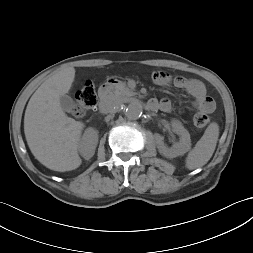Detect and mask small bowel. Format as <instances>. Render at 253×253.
<instances>
[{"label":"small bowel","mask_w":253,"mask_h":253,"mask_svg":"<svg viewBox=\"0 0 253 253\" xmlns=\"http://www.w3.org/2000/svg\"><path fill=\"white\" fill-rule=\"evenodd\" d=\"M152 80L155 84L169 87L174 86L185 90L193 98L192 108L204 113H212L215 109L214 100L207 96L205 85L196 79H187L184 77L172 78L164 71H156L152 74ZM155 103L154 110L159 109L164 112H169L172 109L171 101L168 98L161 100L152 99Z\"/></svg>","instance_id":"obj_1"}]
</instances>
